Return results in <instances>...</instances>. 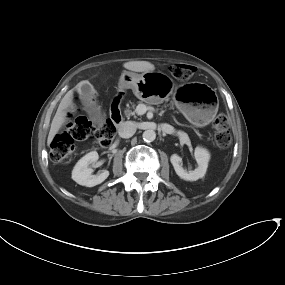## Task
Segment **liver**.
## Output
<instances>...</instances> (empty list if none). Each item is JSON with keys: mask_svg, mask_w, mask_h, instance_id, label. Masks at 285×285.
<instances>
[{"mask_svg": "<svg viewBox=\"0 0 285 285\" xmlns=\"http://www.w3.org/2000/svg\"><path fill=\"white\" fill-rule=\"evenodd\" d=\"M123 67L130 71H134V72H148V71H154L155 69V66L148 61H129V62H125L123 64ZM84 82H88V81H82L78 83L74 89L80 92V88ZM74 108H75V105L73 103V89H72L68 91L65 94V96L62 98L58 106L57 112L52 120L51 128H50L48 139H47L48 146L51 144L54 137L59 132L63 124L65 123L67 113L72 112Z\"/></svg>", "mask_w": 285, "mask_h": 285, "instance_id": "liver-1", "label": "liver"}]
</instances>
